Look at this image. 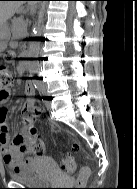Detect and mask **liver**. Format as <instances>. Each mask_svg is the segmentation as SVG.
Returning a JSON list of instances; mask_svg holds the SVG:
<instances>
[{
  "mask_svg": "<svg viewBox=\"0 0 137 189\" xmlns=\"http://www.w3.org/2000/svg\"><path fill=\"white\" fill-rule=\"evenodd\" d=\"M22 3V1H0V28L14 15ZM30 5L34 7L36 3L31 2Z\"/></svg>",
  "mask_w": 137,
  "mask_h": 189,
  "instance_id": "1",
  "label": "liver"
}]
</instances>
